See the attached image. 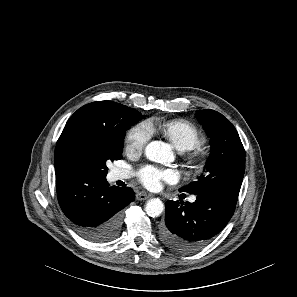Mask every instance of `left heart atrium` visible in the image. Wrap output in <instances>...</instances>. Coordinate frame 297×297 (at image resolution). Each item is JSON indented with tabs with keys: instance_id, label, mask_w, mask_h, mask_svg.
I'll return each instance as SVG.
<instances>
[{
	"instance_id": "39dd6f15",
	"label": "left heart atrium",
	"mask_w": 297,
	"mask_h": 297,
	"mask_svg": "<svg viewBox=\"0 0 297 297\" xmlns=\"http://www.w3.org/2000/svg\"><path fill=\"white\" fill-rule=\"evenodd\" d=\"M142 184L149 189L158 188L162 182H175L178 179V172L173 169H158L152 166H145L138 172Z\"/></svg>"
}]
</instances>
